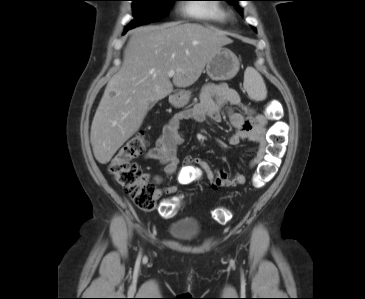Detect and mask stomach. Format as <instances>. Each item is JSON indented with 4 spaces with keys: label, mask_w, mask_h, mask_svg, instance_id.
I'll return each instance as SVG.
<instances>
[{
    "label": "stomach",
    "mask_w": 365,
    "mask_h": 299,
    "mask_svg": "<svg viewBox=\"0 0 365 299\" xmlns=\"http://www.w3.org/2000/svg\"><path fill=\"white\" fill-rule=\"evenodd\" d=\"M240 61L229 49L221 47L210 59L206 66V72L212 80L232 79L239 71ZM191 93L180 91L170 96L169 101L175 107H183L188 104Z\"/></svg>",
    "instance_id": "stomach-1"
}]
</instances>
